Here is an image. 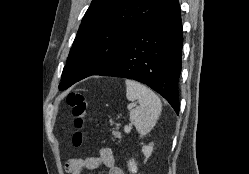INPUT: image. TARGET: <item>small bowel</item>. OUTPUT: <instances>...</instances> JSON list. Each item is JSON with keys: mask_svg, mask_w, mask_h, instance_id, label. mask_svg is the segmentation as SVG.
<instances>
[{"mask_svg": "<svg viewBox=\"0 0 249 174\" xmlns=\"http://www.w3.org/2000/svg\"><path fill=\"white\" fill-rule=\"evenodd\" d=\"M101 165L108 169V174H125L115 165L113 152L110 148H101L97 156L85 158H72L66 162L65 169L68 174H81L84 170H95Z\"/></svg>", "mask_w": 249, "mask_h": 174, "instance_id": "1", "label": "small bowel"}]
</instances>
